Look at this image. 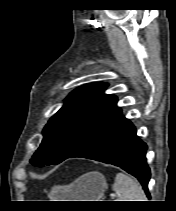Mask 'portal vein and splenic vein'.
I'll list each match as a JSON object with an SVG mask.
<instances>
[{"mask_svg":"<svg viewBox=\"0 0 176 211\" xmlns=\"http://www.w3.org/2000/svg\"><path fill=\"white\" fill-rule=\"evenodd\" d=\"M115 197H117V196H116V195H113V196H112V198H115Z\"/></svg>","mask_w":176,"mask_h":211,"instance_id":"portal-vein-and-splenic-vein-1","label":"portal vein and splenic vein"}]
</instances>
